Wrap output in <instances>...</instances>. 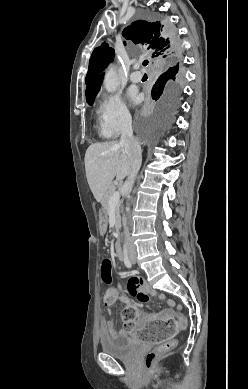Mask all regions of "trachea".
Returning <instances> with one entry per match:
<instances>
[{
	"instance_id": "obj_1",
	"label": "trachea",
	"mask_w": 248,
	"mask_h": 389,
	"mask_svg": "<svg viewBox=\"0 0 248 389\" xmlns=\"http://www.w3.org/2000/svg\"><path fill=\"white\" fill-rule=\"evenodd\" d=\"M147 64H148V61L145 60V61L143 62V66H146Z\"/></svg>"
}]
</instances>
